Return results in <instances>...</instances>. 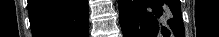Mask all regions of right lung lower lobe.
Here are the masks:
<instances>
[{"label":"right lung lower lobe","instance_id":"1","mask_svg":"<svg viewBox=\"0 0 219 37\" xmlns=\"http://www.w3.org/2000/svg\"><path fill=\"white\" fill-rule=\"evenodd\" d=\"M33 37H88V0H28Z\"/></svg>","mask_w":219,"mask_h":37}]
</instances>
